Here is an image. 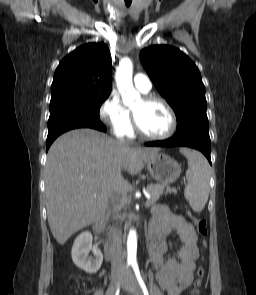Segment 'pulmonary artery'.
Wrapping results in <instances>:
<instances>
[{
	"mask_svg": "<svg viewBox=\"0 0 256 295\" xmlns=\"http://www.w3.org/2000/svg\"><path fill=\"white\" fill-rule=\"evenodd\" d=\"M134 86L142 93H148L152 88L149 77L142 73H137L133 78Z\"/></svg>",
	"mask_w": 256,
	"mask_h": 295,
	"instance_id": "obj_1",
	"label": "pulmonary artery"
}]
</instances>
